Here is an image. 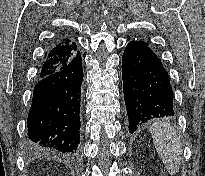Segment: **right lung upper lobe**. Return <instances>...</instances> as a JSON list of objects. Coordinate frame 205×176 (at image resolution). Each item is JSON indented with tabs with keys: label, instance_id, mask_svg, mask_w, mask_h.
Wrapping results in <instances>:
<instances>
[{
	"label": "right lung upper lobe",
	"instance_id": "right-lung-upper-lobe-1",
	"mask_svg": "<svg viewBox=\"0 0 205 176\" xmlns=\"http://www.w3.org/2000/svg\"><path fill=\"white\" fill-rule=\"evenodd\" d=\"M77 52V45L75 42L68 38L60 40L46 55L39 78L46 76L50 72L57 70L62 65L69 62Z\"/></svg>",
	"mask_w": 205,
	"mask_h": 176
}]
</instances>
